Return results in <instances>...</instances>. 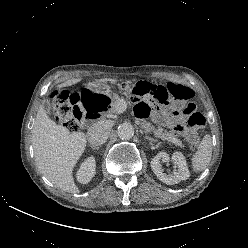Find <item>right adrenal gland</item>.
<instances>
[{"label": "right adrenal gland", "instance_id": "obj_1", "mask_svg": "<svg viewBox=\"0 0 248 248\" xmlns=\"http://www.w3.org/2000/svg\"><path fill=\"white\" fill-rule=\"evenodd\" d=\"M89 146H90L93 150H99V148H100L99 146H93V145H91V144H90Z\"/></svg>", "mask_w": 248, "mask_h": 248}]
</instances>
